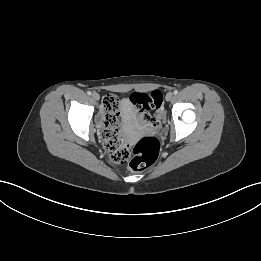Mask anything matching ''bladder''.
I'll list each match as a JSON object with an SVG mask.
<instances>
[{
    "label": "bladder",
    "instance_id": "1",
    "mask_svg": "<svg viewBox=\"0 0 261 261\" xmlns=\"http://www.w3.org/2000/svg\"><path fill=\"white\" fill-rule=\"evenodd\" d=\"M121 110L126 121L131 122L133 117L132 105L128 100H123Z\"/></svg>",
    "mask_w": 261,
    "mask_h": 261
}]
</instances>
